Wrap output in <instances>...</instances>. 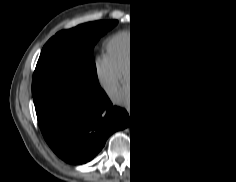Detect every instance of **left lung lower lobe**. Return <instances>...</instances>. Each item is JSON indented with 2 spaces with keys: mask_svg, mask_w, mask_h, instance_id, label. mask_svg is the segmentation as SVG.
<instances>
[{
  "mask_svg": "<svg viewBox=\"0 0 236 182\" xmlns=\"http://www.w3.org/2000/svg\"><path fill=\"white\" fill-rule=\"evenodd\" d=\"M213 107L188 101L168 102L152 99L136 108L139 119L155 133L142 155L151 164L174 166L200 144Z\"/></svg>",
  "mask_w": 236,
  "mask_h": 182,
  "instance_id": "1",
  "label": "left lung lower lobe"
}]
</instances>
